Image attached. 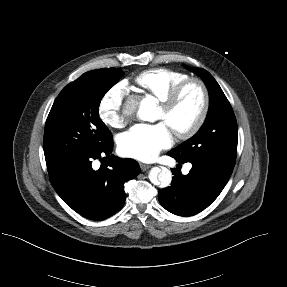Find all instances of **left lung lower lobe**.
I'll return each mask as SVG.
<instances>
[{
    "instance_id": "left-lung-lower-lobe-1",
    "label": "left lung lower lobe",
    "mask_w": 287,
    "mask_h": 287,
    "mask_svg": "<svg viewBox=\"0 0 287 287\" xmlns=\"http://www.w3.org/2000/svg\"><path fill=\"white\" fill-rule=\"evenodd\" d=\"M179 164L190 162L192 168L182 175L179 166L171 169V186L159 191V202L169 212L179 216H192L207 208L227 184L233 167L199 156L181 159L168 152Z\"/></svg>"
}]
</instances>
